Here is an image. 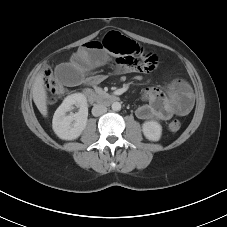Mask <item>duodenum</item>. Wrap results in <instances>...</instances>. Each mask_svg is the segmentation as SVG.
I'll return each mask as SVG.
<instances>
[{
	"mask_svg": "<svg viewBox=\"0 0 227 227\" xmlns=\"http://www.w3.org/2000/svg\"><path fill=\"white\" fill-rule=\"evenodd\" d=\"M83 95L89 103L111 104L119 100V97L115 94L99 92L90 88L85 89Z\"/></svg>",
	"mask_w": 227,
	"mask_h": 227,
	"instance_id": "duodenum-1",
	"label": "duodenum"
}]
</instances>
